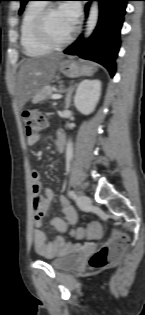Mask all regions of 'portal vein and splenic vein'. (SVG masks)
<instances>
[{
	"mask_svg": "<svg viewBox=\"0 0 145 315\" xmlns=\"http://www.w3.org/2000/svg\"><path fill=\"white\" fill-rule=\"evenodd\" d=\"M62 97L61 94H52L51 99H60Z\"/></svg>",
	"mask_w": 145,
	"mask_h": 315,
	"instance_id": "18ae733b",
	"label": "portal vein and splenic vein"
}]
</instances>
